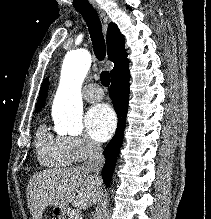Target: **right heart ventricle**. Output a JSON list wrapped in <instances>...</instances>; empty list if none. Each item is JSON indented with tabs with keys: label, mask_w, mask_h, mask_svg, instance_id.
I'll return each instance as SVG.
<instances>
[{
	"label": "right heart ventricle",
	"mask_w": 211,
	"mask_h": 219,
	"mask_svg": "<svg viewBox=\"0 0 211 219\" xmlns=\"http://www.w3.org/2000/svg\"><path fill=\"white\" fill-rule=\"evenodd\" d=\"M35 149L39 163L46 167H63L73 162L62 137L51 134L41 124L35 135Z\"/></svg>",
	"instance_id": "e07e8e85"
}]
</instances>
